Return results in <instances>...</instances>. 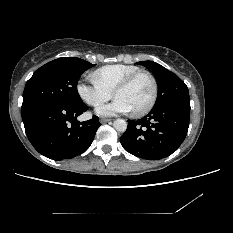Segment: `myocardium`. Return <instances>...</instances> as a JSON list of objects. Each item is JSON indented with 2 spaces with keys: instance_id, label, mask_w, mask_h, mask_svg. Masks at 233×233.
I'll list each match as a JSON object with an SVG mask.
<instances>
[{
  "instance_id": "myocardium-1",
  "label": "myocardium",
  "mask_w": 233,
  "mask_h": 233,
  "mask_svg": "<svg viewBox=\"0 0 233 233\" xmlns=\"http://www.w3.org/2000/svg\"><path fill=\"white\" fill-rule=\"evenodd\" d=\"M140 76H146L150 80L151 85H152V95H151V98L148 104L145 107L133 111V113L137 116H142V115L149 113L156 104V101L158 98V82L155 76L149 71L140 70L127 76L113 90V95L115 96L119 91L130 86Z\"/></svg>"
}]
</instances>
